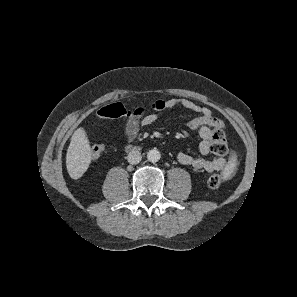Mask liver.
Listing matches in <instances>:
<instances>
[{
    "instance_id": "obj_1",
    "label": "liver",
    "mask_w": 297,
    "mask_h": 297,
    "mask_svg": "<svg viewBox=\"0 0 297 297\" xmlns=\"http://www.w3.org/2000/svg\"><path fill=\"white\" fill-rule=\"evenodd\" d=\"M92 159V150L83 128H78L71 137L67 150L66 166L72 179L80 178Z\"/></svg>"
}]
</instances>
